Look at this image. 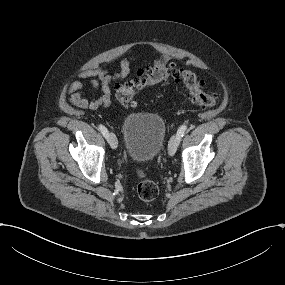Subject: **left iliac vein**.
I'll use <instances>...</instances> for the list:
<instances>
[{"instance_id": "left-iliac-vein-1", "label": "left iliac vein", "mask_w": 285, "mask_h": 285, "mask_svg": "<svg viewBox=\"0 0 285 285\" xmlns=\"http://www.w3.org/2000/svg\"><path fill=\"white\" fill-rule=\"evenodd\" d=\"M179 137L177 135H174L171 137L170 141H169V146H168V154L169 156H174V154L176 153L177 147L179 145Z\"/></svg>"}]
</instances>
